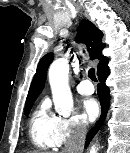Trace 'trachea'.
<instances>
[{
	"label": "trachea",
	"mask_w": 130,
	"mask_h": 153,
	"mask_svg": "<svg viewBox=\"0 0 130 153\" xmlns=\"http://www.w3.org/2000/svg\"><path fill=\"white\" fill-rule=\"evenodd\" d=\"M88 77L94 81V82H97V78H96V75H95V70L94 68H91L89 71H88Z\"/></svg>",
	"instance_id": "3493384b"
}]
</instances>
